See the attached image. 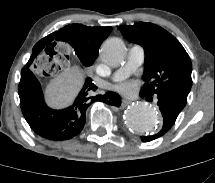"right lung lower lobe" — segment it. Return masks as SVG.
Segmentation results:
<instances>
[{
    "label": "right lung lower lobe",
    "instance_id": "1",
    "mask_svg": "<svg viewBox=\"0 0 215 183\" xmlns=\"http://www.w3.org/2000/svg\"><path fill=\"white\" fill-rule=\"evenodd\" d=\"M35 57L36 54H32L21 71L18 93L22 113L31 129L39 136L52 141L71 139L82 131L86 110L93 102L101 101L117 107L121 105V98L115 92L92 95L97 87L91 78H87L71 106L63 110L49 108L44 101L39 81L29 70Z\"/></svg>",
    "mask_w": 215,
    "mask_h": 183
}]
</instances>
